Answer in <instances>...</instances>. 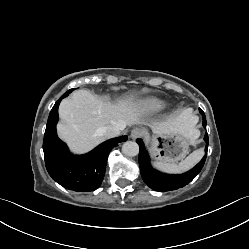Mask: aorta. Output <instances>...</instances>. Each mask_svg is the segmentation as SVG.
<instances>
[{"mask_svg": "<svg viewBox=\"0 0 249 249\" xmlns=\"http://www.w3.org/2000/svg\"><path fill=\"white\" fill-rule=\"evenodd\" d=\"M122 152L126 156H136L139 153V146L136 142L127 141L122 145Z\"/></svg>", "mask_w": 249, "mask_h": 249, "instance_id": "762f6f07", "label": "aorta"}]
</instances>
